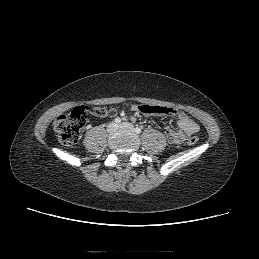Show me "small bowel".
Instances as JSON below:
<instances>
[{"instance_id":"small-bowel-1","label":"small bowel","mask_w":259,"mask_h":259,"mask_svg":"<svg viewBox=\"0 0 259 259\" xmlns=\"http://www.w3.org/2000/svg\"><path fill=\"white\" fill-rule=\"evenodd\" d=\"M133 110L146 115L150 114H170L176 119L177 130L166 128L164 131L165 137L173 144L182 143L189 135L196 133L199 130L198 124L193 121L186 113L176 108L152 105L133 104ZM163 110V111H162Z\"/></svg>"}]
</instances>
